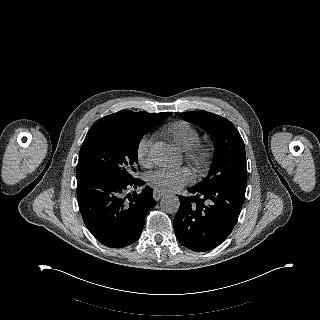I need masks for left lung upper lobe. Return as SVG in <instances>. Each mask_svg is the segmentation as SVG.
I'll use <instances>...</instances> for the list:
<instances>
[{
	"instance_id": "1",
	"label": "left lung upper lobe",
	"mask_w": 320,
	"mask_h": 320,
	"mask_svg": "<svg viewBox=\"0 0 320 320\" xmlns=\"http://www.w3.org/2000/svg\"><path fill=\"white\" fill-rule=\"evenodd\" d=\"M181 117L206 130L214 144L208 175L196 186L212 188L232 179L247 182L244 142L230 121L206 111L181 113Z\"/></svg>"
}]
</instances>
